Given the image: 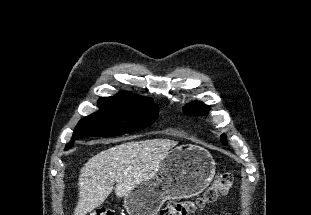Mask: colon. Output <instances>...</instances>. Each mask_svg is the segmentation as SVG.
Instances as JSON below:
<instances>
[{
	"instance_id": "colon-1",
	"label": "colon",
	"mask_w": 311,
	"mask_h": 215,
	"mask_svg": "<svg viewBox=\"0 0 311 215\" xmlns=\"http://www.w3.org/2000/svg\"><path fill=\"white\" fill-rule=\"evenodd\" d=\"M232 183V174H219L213 184L200 197L193 200L172 201L160 211L159 215H191L206 204L214 202L220 195L227 194ZM89 215H114V213L106 208H98Z\"/></svg>"
}]
</instances>
